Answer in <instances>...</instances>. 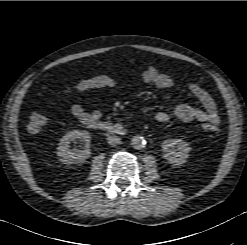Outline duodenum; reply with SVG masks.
<instances>
[{"label": "duodenum", "instance_id": "obj_1", "mask_svg": "<svg viewBox=\"0 0 247 245\" xmlns=\"http://www.w3.org/2000/svg\"><path fill=\"white\" fill-rule=\"evenodd\" d=\"M91 128L98 131L108 132L114 135H123L125 128L119 124H112L109 122H95L91 125Z\"/></svg>", "mask_w": 247, "mask_h": 245}]
</instances>
